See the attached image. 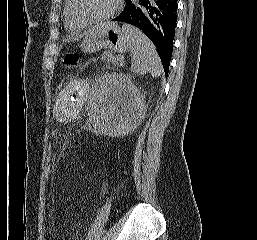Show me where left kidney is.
Wrapping results in <instances>:
<instances>
[{
  "instance_id": "5707ae66",
  "label": "left kidney",
  "mask_w": 257,
  "mask_h": 240,
  "mask_svg": "<svg viewBox=\"0 0 257 240\" xmlns=\"http://www.w3.org/2000/svg\"><path fill=\"white\" fill-rule=\"evenodd\" d=\"M144 115V97L126 75L108 73L94 84L89 118L96 132L125 135L141 123Z\"/></svg>"
}]
</instances>
